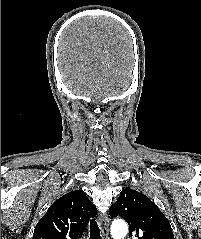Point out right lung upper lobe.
I'll return each instance as SVG.
<instances>
[{"instance_id": "right-lung-upper-lobe-1", "label": "right lung upper lobe", "mask_w": 201, "mask_h": 239, "mask_svg": "<svg viewBox=\"0 0 201 239\" xmlns=\"http://www.w3.org/2000/svg\"><path fill=\"white\" fill-rule=\"evenodd\" d=\"M97 209L83 191L56 200L37 223L32 239H79Z\"/></svg>"}]
</instances>
